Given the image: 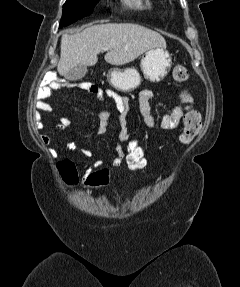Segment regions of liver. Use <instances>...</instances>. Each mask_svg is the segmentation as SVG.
<instances>
[{
	"label": "liver",
	"mask_w": 240,
	"mask_h": 287,
	"mask_svg": "<svg viewBox=\"0 0 240 287\" xmlns=\"http://www.w3.org/2000/svg\"><path fill=\"white\" fill-rule=\"evenodd\" d=\"M154 47H166V41L160 33L144 26L134 23L94 25L62 36L57 71L65 75L78 64L93 66L103 48H108L104 56L107 63L124 65Z\"/></svg>",
	"instance_id": "obj_1"
}]
</instances>
